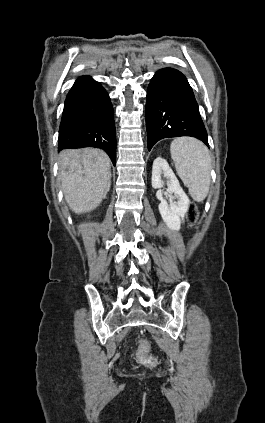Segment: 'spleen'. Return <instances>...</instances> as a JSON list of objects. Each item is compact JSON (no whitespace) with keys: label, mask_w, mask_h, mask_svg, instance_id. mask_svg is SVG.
Here are the masks:
<instances>
[{"label":"spleen","mask_w":265,"mask_h":423,"mask_svg":"<svg viewBox=\"0 0 265 423\" xmlns=\"http://www.w3.org/2000/svg\"><path fill=\"white\" fill-rule=\"evenodd\" d=\"M171 157L189 194L202 202L210 187L211 159L207 147L199 140L189 137L174 139L170 146Z\"/></svg>","instance_id":"1"}]
</instances>
